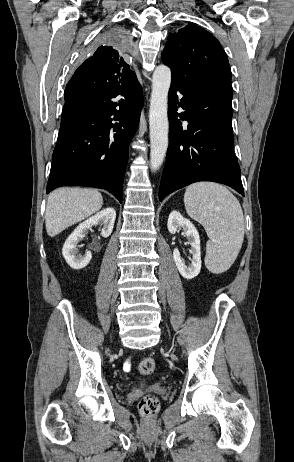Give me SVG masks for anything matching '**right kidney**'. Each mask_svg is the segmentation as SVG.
<instances>
[{"label": "right kidney", "instance_id": "1", "mask_svg": "<svg viewBox=\"0 0 294 462\" xmlns=\"http://www.w3.org/2000/svg\"><path fill=\"white\" fill-rule=\"evenodd\" d=\"M115 218L116 212L114 208H106L79 224L76 229L68 236L63 245L62 254L67 264L71 268L76 270L85 268L92 258L90 251H87L84 256L76 255L77 244L85 237L88 230L93 225L101 224L103 226L101 235L102 237L107 238L113 231Z\"/></svg>", "mask_w": 294, "mask_h": 462}]
</instances>
